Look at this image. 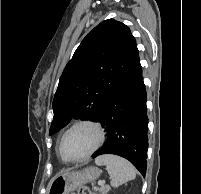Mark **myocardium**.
Masks as SVG:
<instances>
[{"instance_id":"f54148a6","label":"myocardium","mask_w":201,"mask_h":194,"mask_svg":"<svg viewBox=\"0 0 201 194\" xmlns=\"http://www.w3.org/2000/svg\"><path fill=\"white\" fill-rule=\"evenodd\" d=\"M78 127H89L91 129H93V131L96 134V141H95V144L93 145V147L85 155L78 157V158H68L62 152V143H63L65 136L70 131H72L73 129L78 128ZM104 140H105V130L100 122L93 120V119H88V118L80 119V120H77L74 123H72L69 127H67L65 129V131L62 133V135L60 136V139L58 142V153H59L60 157L66 162H69V163L82 162V161L90 158L102 146V144L104 143Z\"/></svg>"}]
</instances>
